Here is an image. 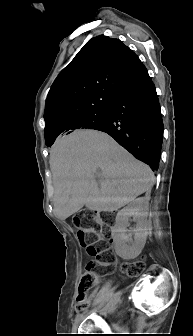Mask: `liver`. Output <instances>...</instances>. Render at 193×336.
<instances>
[{"instance_id": "obj_1", "label": "liver", "mask_w": 193, "mask_h": 336, "mask_svg": "<svg viewBox=\"0 0 193 336\" xmlns=\"http://www.w3.org/2000/svg\"><path fill=\"white\" fill-rule=\"evenodd\" d=\"M54 212L65 220L84 205L112 212L149 193L150 167L137 160L108 134L80 130L57 141L50 151Z\"/></svg>"}]
</instances>
